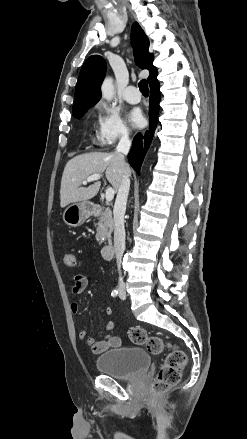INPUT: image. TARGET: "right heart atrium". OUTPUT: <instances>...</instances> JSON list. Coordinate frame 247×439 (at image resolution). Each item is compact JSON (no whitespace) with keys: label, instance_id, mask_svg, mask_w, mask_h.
Masks as SVG:
<instances>
[{"label":"right heart atrium","instance_id":"d8ad5b80","mask_svg":"<svg viewBox=\"0 0 247 439\" xmlns=\"http://www.w3.org/2000/svg\"><path fill=\"white\" fill-rule=\"evenodd\" d=\"M129 136L130 129L118 111L106 104H101L96 134L98 143L104 147H110Z\"/></svg>","mask_w":247,"mask_h":439}]
</instances>
